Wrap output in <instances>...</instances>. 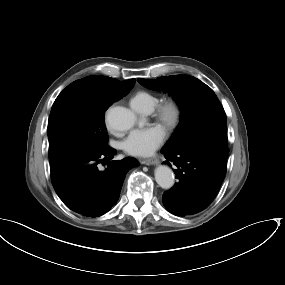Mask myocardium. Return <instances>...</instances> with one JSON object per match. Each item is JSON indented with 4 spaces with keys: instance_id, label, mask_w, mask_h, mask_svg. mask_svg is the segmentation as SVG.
<instances>
[{
    "instance_id": "myocardium-1",
    "label": "myocardium",
    "mask_w": 285,
    "mask_h": 285,
    "mask_svg": "<svg viewBox=\"0 0 285 285\" xmlns=\"http://www.w3.org/2000/svg\"><path fill=\"white\" fill-rule=\"evenodd\" d=\"M154 117L167 131L172 132L177 129L181 123V105L173 98L165 99L155 107Z\"/></svg>"
}]
</instances>
